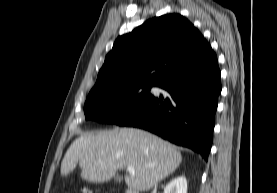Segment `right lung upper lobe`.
<instances>
[{
  "mask_svg": "<svg viewBox=\"0 0 277 193\" xmlns=\"http://www.w3.org/2000/svg\"><path fill=\"white\" fill-rule=\"evenodd\" d=\"M212 51L199 30L180 14L152 18L116 39L90 93L135 85L159 86Z\"/></svg>",
  "mask_w": 277,
  "mask_h": 193,
  "instance_id": "right-lung-upper-lobe-1",
  "label": "right lung upper lobe"
}]
</instances>
